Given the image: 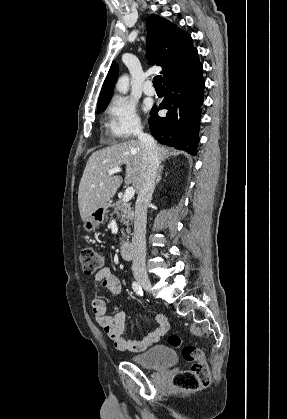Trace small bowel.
I'll return each mask as SVG.
<instances>
[{
  "mask_svg": "<svg viewBox=\"0 0 287 419\" xmlns=\"http://www.w3.org/2000/svg\"><path fill=\"white\" fill-rule=\"evenodd\" d=\"M100 286L105 287L115 295L121 292L120 281L109 267L99 270L93 278L94 290ZM91 307L98 325L111 339L114 347L121 351L142 352L163 338L170 329V323L166 316L158 314L156 317L158 327L154 331L141 339H126L123 336L126 329V316L123 312L107 315L108 305L99 297L92 300Z\"/></svg>",
  "mask_w": 287,
  "mask_h": 419,
  "instance_id": "obj_1",
  "label": "small bowel"
}]
</instances>
